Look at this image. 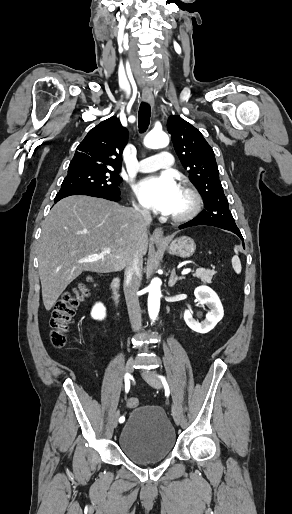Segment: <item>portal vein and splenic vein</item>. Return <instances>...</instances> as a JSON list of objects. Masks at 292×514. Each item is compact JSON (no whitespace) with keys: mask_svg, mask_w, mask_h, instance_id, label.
I'll return each instance as SVG.
<instances>
[{"mask_svg":"<svg viewBox=\"0 0 292 514\" xmlns=\"http://www.w3.org/2000/svg\"><path fill=\"white\" fill-rule=\"evenodd\" d=\"M101 254H111L109 248H107V250H103V252H101ZM94 260H96V258H93V260H89V262H94ZM189 272H191V270H183V272H181V274H189Z\"/></svg>","mask_w":292,"mask_h":514,"instance_id":"portal-vein-and-splenic-vein-1","label":"portal vein and splenic vein"}]
</instances>
